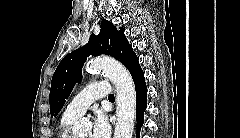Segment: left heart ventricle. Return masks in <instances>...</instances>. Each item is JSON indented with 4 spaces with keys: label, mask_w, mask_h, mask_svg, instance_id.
<instances>
[{
    "label": "left heart ventricle",
    "mask_w": 240,
    "mask_h": 138,
    "mask_svg": "<svg viewBox=\"0 0 240 138\" xmlns=\"http://www.w3.org/2000/svg\"><path fill=\"white\" fill-rule=\"evenodd\" d=\"M79 138H91L90 132L82 134Z\"/></svg>",
    "instance_id": "left-heart-ventricle-1"
}]
</instances>
